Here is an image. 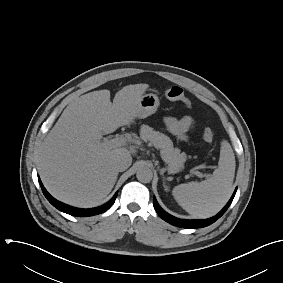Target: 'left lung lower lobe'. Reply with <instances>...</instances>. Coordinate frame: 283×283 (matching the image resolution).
Returning <instances> with one entry per match:
<instances>
[{"mask_svg": "<svg viewBox=\"0 0 283 283\" xmlns=\"http://www.w3.org/2000/svg\"><path fill=\"white\" fill-rule=\"evenodd\" d=\"M236 190L234 191L232 197L230 198L229 202L226 204V206L214 217L206 219V220H181L176 217L171 216L170 214L166 213L157 203L156 198L154 197L153 199V205L158 213V215L165 220L166 222L182 227V228H201V227H206L212 223H214L218 218H220L225 211L228 209L230 206L231 202L233 201V198L235 196Z\"/></svg>", "mask_w": 283, "mask_h": 283, "instance_id": "left-lung-lower-lobe-1", "label": "left lung lower lobe"}]
</instances>
